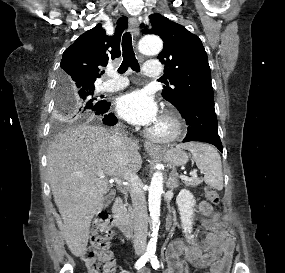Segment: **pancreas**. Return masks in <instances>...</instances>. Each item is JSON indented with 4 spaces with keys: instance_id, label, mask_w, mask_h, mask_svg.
I'll return each instance as SVG.
<instances>
[{
    "instance_id": "cf45deb5",
    "label": "pancreas",
    "mask_w": 285,
    "mask_h": 273,
    "mask_svg": "<svg viewBox=\"0 0 285 273\" xmlns=\"http://www.w3.org/2000/svg\"><path fill=\"white\" fill-rule=\"evenodd\" d=\"M202 182H203V180L200 179V178L191 179V180H185V181H184V183H185L187 186H192V187L198 186V185L201 184Z\"/></svg>"
}]
</instances>
